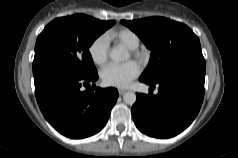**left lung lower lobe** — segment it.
<instances>
[{
  "instance_id": "obj_1",
  "label": "left lung lower lobe",
  "mask_w": 238,
  "mask_h": 158,
  "mask_svg": "<svg viewBox=\"0 0 238 158\" xmlns=\"http://www.w3.org/2000/svg\"><path fill=\"white\" fill-rule=\"evenodd\" d=\"M205 71V63H191L170 70L154 83L145 82L150 91L159 85L158 94H136L132 106L136 127L156 138H170L186 129L203 102Z\"/></svg>"
}]
</instances>
